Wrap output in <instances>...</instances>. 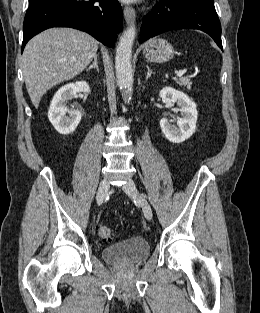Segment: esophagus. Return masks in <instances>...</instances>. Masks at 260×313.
I'll list each match as a JSON object with an SVG mask.
<instances>
[{"instance_id":"1","label":"esophagus","mask_w":260,"mask_h":313,"mask_svg":"<svg viewBox=\"0 0 260 313\" xmlns=\"http://www.w3.org/2000/svg\"><path fill=\"white\" fill-rule=\"evenodd\" d=\"M124 17L127 24H132L135 21V10L131 6L124 7Z\"/></svg>"}]
</instances>
